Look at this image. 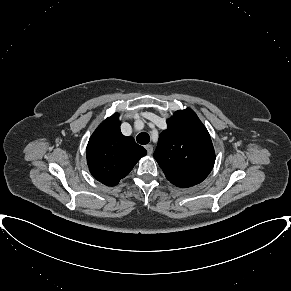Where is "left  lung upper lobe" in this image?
Returning a JSON list of instances; mask_svg holds the SVG:
<instances>
[{"label": "left lung upper lobe", "mask_w": 291, "mask_h": 291, "mask_svg": "<svg viewBox=\"0 0 291 291\" xmlns=\"http://www.w3.org/2000/svg\"><path fill=\"white\" fill-rule=\"evenodd\" d=\"M154 158L166 178L185 187L202 182L211 172L215 152L210 135L193 110H179L167 120Z\"/></svg>", "instance_id": "5c2ea615"}]
</instances>
